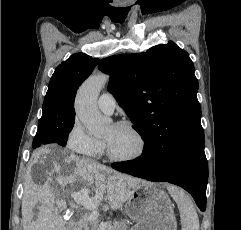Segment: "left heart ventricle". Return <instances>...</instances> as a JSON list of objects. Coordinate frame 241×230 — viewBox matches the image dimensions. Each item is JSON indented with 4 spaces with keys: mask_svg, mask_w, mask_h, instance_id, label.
I'll return each mask as SVG.
<instances>
[{
    "mask_svg": "<svg viewBox=\"0 0 241 230\" xmlns=\"http://www.w3.org/2000/svg\"><path fill=\"white\" fill-rule=\"evenodd\" d=\"M103 141L107 142L112 153L118 157L135 154L139 142L134 133L126 127L111 125L106 131Z\"/></svg>",
    "mask_w": 241,
    "mask_h": 230,
    "instance_id": "obj_1",
    "label": "left heart ventricle"
}]
</instances>
